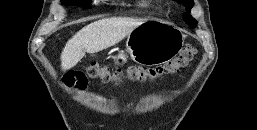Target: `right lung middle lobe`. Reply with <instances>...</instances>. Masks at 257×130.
<instances>
[{
  "mask_svg": "<svg viewBox=\"0 0 257 130\" xmlns=\"http://www.w3.org/2000/svg\"><path fill=\"white\" fill-rule=\"evenodd\" d=\"M62 2L67 5H86L90 0H63Z\"/></svg>",
  "mask_w": 257,
  "mask_h": 130,
  "instance_id": "dd1d6c3e",
  "label": "right lung middle lobe"
}]
</instances>
